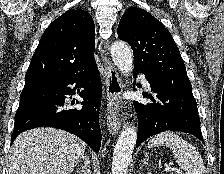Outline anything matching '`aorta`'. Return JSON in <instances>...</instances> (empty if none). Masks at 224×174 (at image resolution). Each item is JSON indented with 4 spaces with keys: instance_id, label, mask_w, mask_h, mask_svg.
Masks as SVG:
<instances>
[{
    "instance_id": "obj_1",
    "label": "aorta",
    "mask_w": 224,
    "mask_h": 174,
    "mask_svg": "<svg viewBox=\"0 0 224 174\" xmlns=\"http://www.w3.org/2000/svg\"><path fill=\"white\" fill-rule=\"evenodd\" d=\"M111 57L114 64L124 75H128L132 71L133 54L125 42L117 41L113 43ZM136 139L135 126L132 124L125 126L114 148L111 174H127Z\"/></svg>"
}]
</instances>
